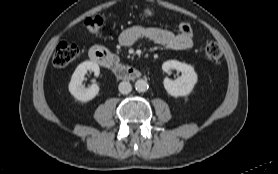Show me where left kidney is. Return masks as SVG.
<instances>
[{"label":"left kidney","instance_id":"left-kidney-1","mask_svg":"<svg viewBox=\"0 0 278 174\" xmlns=\"http://www.w3.org/2000/svg\"><path fill=\"white\" fill-rule=\"evenodd\" d=\"M162 69L166 73L171 69H176L182 73L176 80L165 78L163 81L165 90L173 97L189 95L197 83V73L191 65L177 60H168L163 63Z\"/></svg>","mask_w":278,"mask_h":174}]
</instances>
